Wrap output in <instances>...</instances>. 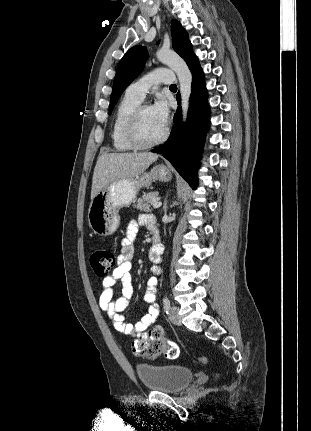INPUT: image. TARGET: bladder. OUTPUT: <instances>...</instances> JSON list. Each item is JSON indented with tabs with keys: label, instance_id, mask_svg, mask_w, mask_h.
I'll use <instances>...</instances> for the list:
<instances>
[{
	"label": "bladder",
	"instance_id": "1",
	"mask_svg": "<svg viewBox=\"0 0 311 431\" xmlns=\"http://www.w3.org/2000/svg\"><path fill=\"white\" fill-rule=\"evenodd\" d=\"M136 374L146 389L162 393H177L186 388L193 379L188 367L177 364H138Z\"/></svg>",
	"mask_w": 311,
	"mask_h": 431
}]
</instances>
